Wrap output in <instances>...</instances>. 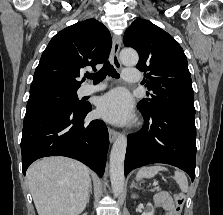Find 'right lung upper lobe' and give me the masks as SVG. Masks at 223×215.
Segmentation results:
<instances>
[{"label":"right lung upper lobe","mask_w":223,"mask_h":215,"mask_svg":"<svg viewBox=\"0 0 223 215\" xmlns=\"http://www.w3.org/2000/svg\"><path fill=\"white\" fill-rule=\"evenodd\" d=\"M108 29L95 19L71 25L58 32L42 53L30 93L61 90L77 91L82 68L103 63L111 49Z\"/></svg>","instance_id":"cb5924a9"}]
</instances>
